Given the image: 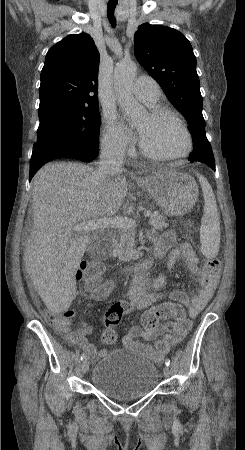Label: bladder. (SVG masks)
<instances>
[{
    "label": "bladder",
    "mask_w": 245,
    "mask_h": 450,
    "mask_svg": "<svg viewBox=\"0 0 245 450\" xmlns=\"http://www.w3.org/2000/svg\"><path fill=\"white\" fill-rule=\"evenodd\" d=\"M159 378V368L144 354L116 348L95 360L90 384L106 397L130 400L154 390Z\"/></svg>",
    "instance_id": "31cf9c89"
}]
</instances>
